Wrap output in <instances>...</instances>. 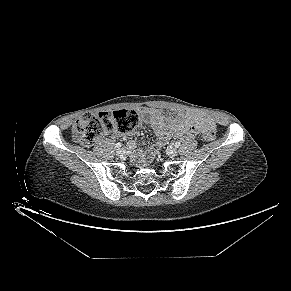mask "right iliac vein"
Wrapping results in <instances>:
<instances>
[{
    "instance_id": "obj_1",
    "label": "right iliac vein",
    "mask_w": 291,
    "mask_h": 291,
    "mask_svg": "<svg viewBox=\"0 0 291 291\" xmlns=\"http://www.w3.org/2000/svg\"><path fill=\"white\" fill-rule=\"evenodd\" d=\"M126 151L124 148H119L116 150V154L120 157H123L125 155Z\"/></svg>"
}]
</instances>
